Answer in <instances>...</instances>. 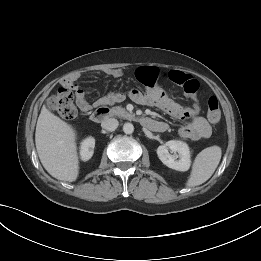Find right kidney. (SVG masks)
<instances>
[{
  "label": "right kidney",
  "instance_id": "obj_1",
  "mask_svg": "<svg viewBox=\"0 0 261 261\" xmlns=\"http://www.w3.org/2000/svg\"><path fill=\"white\" fill-rule=\"evenodd\" d=\"M94 147L95 139L93 137H88L83 140L80 146V156L83 161H87L92 157Z\"/></svg>",
  "mask_w": 261,
  "mask_h": 261
}]
</instances>
